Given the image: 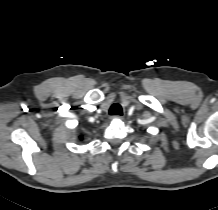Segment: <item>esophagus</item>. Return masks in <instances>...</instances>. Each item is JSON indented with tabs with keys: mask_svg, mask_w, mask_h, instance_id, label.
<instances>
[{
	"mask_svg": "<svg viewBox=\"0 0 218 210\" xmlns=\"http://www.w3.org/2000/svg\"><path fill=\"white\" fill-rule=\"evenodd\" d=\"M111 119H113V120H114V119H122V116L115 115V116H112Z\"/></svg>",
	"mask_w": 218,
	"mask_h": 210,
	"instance_id": "1",
	"label": "esophagus"
}]
</instances>
